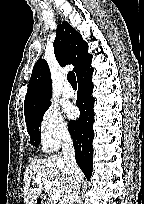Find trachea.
<instances>
[{"label":"trachea","instance_id":"obj_1","mask_svg":"<svg viewBox=\"0 0 144 204\" xmlns=\"http://www.w3.org/2000/svg\"><path fill=\"white\" fill-rule=\"evenodd\" d=\"M67 79H68V81L72 87H77L76 76H75V73L73 71L68 73Z\"/></svg>","mask_w":144,"mask_h":204}]
</instances>
